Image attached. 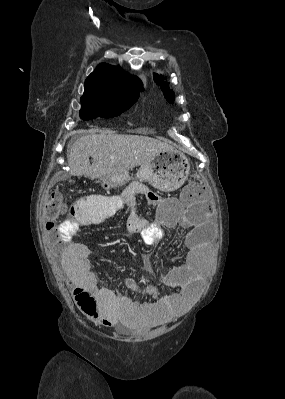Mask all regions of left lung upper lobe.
<instances>
[{
	"instance_id": "5c2ea615",
	"label": "left lung upper lobe",
	"mask_w": 285,
	"mask_h": 399,
	"mask_svg": "<svg viewBox=\"0 0 285 399\" xmlns=\"http://www.w3.org/2000/svg\"><path fill=\"white\" fill-rule=\"evenodd\" d=\"M154 81L161 87L164 92V96L169 103L174 101V92L169 88V84L164 81V78H160L158 74H154Z\"/></svg>"
}]
</instances>
